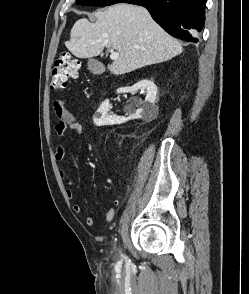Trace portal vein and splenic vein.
Here are the masks:
<instances>
[{
	"label": "portal vein and splenic vein",
	"mask_w": 249,
	"mask_h": 294,
	"mask_svg": "<svg viewBox=\"0 0 249 294\" xmlns=\"http://www.w3.org/2000/svg\"><path fill=\"white\" fill-rule=\"evenodd\" d=\"M110 58L112 59V60H116V59H118L119 58V53L118 52H116V51H114L113 49L112 50H110Z\"/></svg>",
	"instance_id": "portal-vein-and-splenic-vein-1"
}]
</instances>
